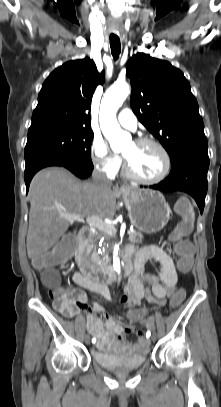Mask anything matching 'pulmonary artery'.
<instances>
[{
  "label": "pulmonary artery",
  "mask_w": 221,
  "mask_h": 407,
  "mask_svg": "<svg viewBox=\"0 0 221 407\" xmlns=\"http://www.w3.org/2000/svg\"><path fill=\"white\" fill-rule=\"evenodd\" d=\"M118 122L121 126L130 130H135L137 127V119L134 113L128 108L123 109L119 113Z\"/></svg>",
  "instance_id": "1"
}]
</instances>
